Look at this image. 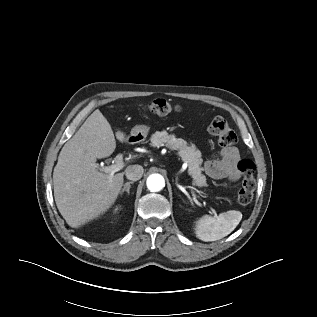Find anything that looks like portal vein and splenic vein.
<instances>
[{
  "label": "portal vein and splenic vein",
  "instance_id": "18ae733b",
  "mask_svg": "<svg viewBox=\"0 0 317 317\" xmlns=\"http://www.w3.org/2000/svg\"><path fill=\"white\" fill-rule=\"evenodd\" d=\"M123 167H124L123 156H122V154H118L115 157V164H112L111 166L105 167L104 170H105V172L110 173V175H114L116 172L120 171ZM203 204L206 205L205 202H203ZM209 209H210V213L212 215H214L215 217H218V214H217L215 209H213L212 207H209Z\"/></svg>",
  "mask_w": 317,
  "mask_h": 317
}]
</instances>
